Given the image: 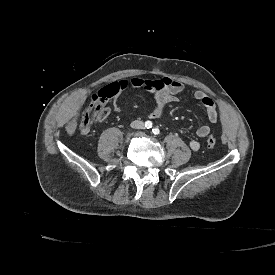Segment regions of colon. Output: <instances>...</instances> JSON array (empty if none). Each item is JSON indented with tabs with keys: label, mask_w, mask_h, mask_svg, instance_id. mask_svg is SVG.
<instances>
[{
	"label": "colon",
	"mask_w": 275,
	"mask_h": 275,
	"mask_svg": "<svg viewBox=\"0 0 275 275\" xmlns=\"http://www.w3.org/2000/svg\"><path fill=\"white\" fill-rule=\"evenodd\" d=\"M108 114V106L104 103H92L83 113L80 120V127L83 131H89L91 124L97 120L105 118ZM207 143L209 146H214L216 143V138L214 136H209L207 138Z\"/></svg>",
	"instance_id": "colon-1"
}]
</instances>
